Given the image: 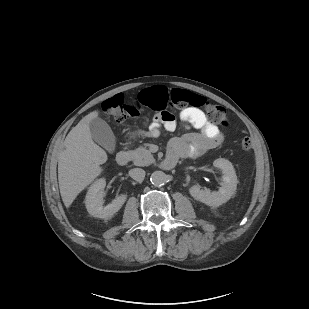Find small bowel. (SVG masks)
Segmentation results:
<instances>
[{
	"label": "small bowel",
	"instance_id": "c3829d8e",
	"mask_svg": "<svg viewBox=\"0 0 309 309\" xmlns=\"http://www.w3.org/2000/svg\"><path fill=\"white\" fill-rule=\"evenodd\" d=\"M180 121L185 126L196 129L197 132L173 138L169 143L166 159L176 162L179 158H194L221 143L222 135L217 126L209 122L201 110L194 108L183 110L180 114ZM161 125L167 130H174L177 123L171 115L165 120L157 117L149 124L147 134L153 137L158 136Z\"/></svg>",
	"mask_w": 309,
	"mask_h": 309
}]
</instances>
